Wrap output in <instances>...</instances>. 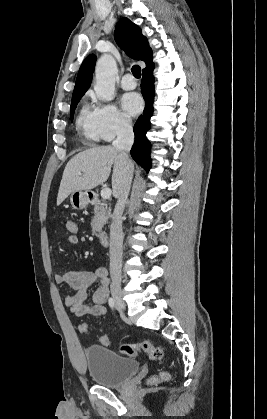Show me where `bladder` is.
Here are the masks:
<instances>
[{
    "instance_id": "bladder-1",
    "label": "bladder",
    "mask_w": 267,
    "mask_h": 419,
    "mask_svg": "<svg viewBox=\"0 0 267 419\" xmlns=\"http://www.w3.org/2000/svg\"><path fill=\"white\" fill-rule=\"evenodd\" d=\"M84 355L89 376L100 386L117 387L139 369L136 360L123 357L102 345L86 347Z\"/></svg>"
}]
</instances>
